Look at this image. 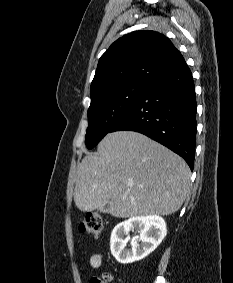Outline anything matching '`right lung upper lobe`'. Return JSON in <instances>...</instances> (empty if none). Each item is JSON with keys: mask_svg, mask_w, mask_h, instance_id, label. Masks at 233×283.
<instances>
[{"mask_svg": "<svg viewBox=\"0 0 233 283\" xmlns=\"http://www.w3.org/2000/svg\"><path fill=\"white\" fill-rule=\"evenodd\" d=\"M184 60L163 34L137 31L116 40L100 57L90 87L91 101L100 93L131 82L150 83Z\"/></svg>", "mask_w": 233, "mask_h": 283, "instance_id": "obj_1", "label": "right lung upper lobe"}]
</instances>
